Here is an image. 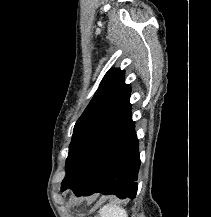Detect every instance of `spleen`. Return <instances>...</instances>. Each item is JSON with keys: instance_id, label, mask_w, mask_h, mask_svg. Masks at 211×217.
I'll return each mask as SVG.
<instances>
[{"instance_id": "obj_1", "label": "spleen", "mask_w": 211, "mask_h": 217, "mask_svg": "<svg viewBox=\"0 0 211 217\" xmlns=\"http://www.w3.org/2000/svg\"><path fill=\"white\" fill-rule=\"evenodd\" d=\"M99 214L100 217H128L126 210L116 204L103 206Z\"/></svg>"}]
</instances>
